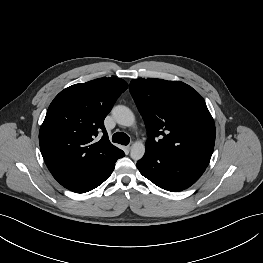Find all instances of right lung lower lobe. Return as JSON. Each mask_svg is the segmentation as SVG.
I'll use <instances>...</instances> for the list:
<instances>
[{"label": "right lung lower lobe", "instance_id": "right-lung-lower-lobe-1", "mask_svg": "<svg viewBox=\"0 0 263 263\" xmlns=\"http://www.w3.org/2000/svg\"><path fill=\"white\" fill-rule=\"evenodd\" d=\"M124 155V152H122L113 161L105 164L92 174L84 177L83 179L75 182L74 184L66 188L76 193H85L93 190L110 177L112 171L114 170L115 162L117 161V159L122 158Z\"/></svg>", "mask_w": 263, "mask_h": 263}]
</instances>
